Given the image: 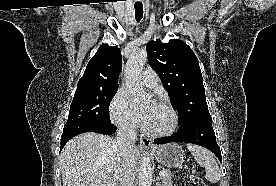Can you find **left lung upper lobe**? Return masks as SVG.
Listing matches in <instances>:
<instances>
[{"instance_id": "left-lung-upper-lobe-1", "label": "left lung upper lobe", "mask_w": 276, "mask_h": 186, "mask_svg": "<svg viewBox=\"0 0 276 186\" xmlns=\"http://www.w3.org/2000/svg\"><path fill=\"white\" fill-rule=\"evenodd\" d=\"M146 50L150 66L159 75L173 108L180 114L179 130L212 120L200 66L192 49L181 40L170 39L168 43L150 41Z\"/></svg>"}]
</instances>
